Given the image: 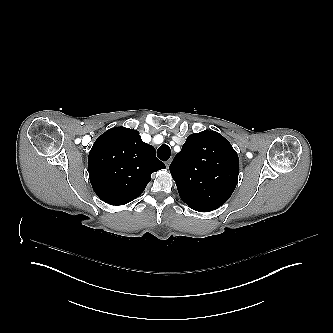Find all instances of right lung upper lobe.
Instances as JSON below:
<instances>
[{"mask_svg":"<svg viewBox=\"0 0 333 333\" xmlns=\"http://www.w3.org/2000/svg\"><path fill=\"white\" fill-rule=\"evenodd\" d=\"M165 168L155 148L141 140L137 130L116 127L97 138L88 156L89 179L94 192L110 205L137 198L151 173Z\"/></svg>","mask_w":333,"mask_h":333,"instance_id":"right-lung-upper-lobe-1","label":"right lung upper lobe"}]
</instances>
